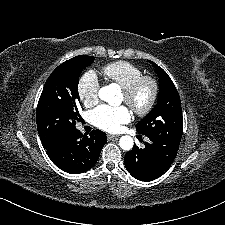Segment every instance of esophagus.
Listing matches in <instances>:
<instances>
[{"mask_svg":"<svg viewBox=\"0 0 225 225\" xmlns=\"http://www.w3.org/2000/svg\"><path fill=\"white\" fill-rule=\"evenodd\" d=\"M107 138L109 139V140H117L118 138H119V136L118 135H113V134H107Z\"/></svg>","mask_w":225,"mask_h":225,"instance_id":"esophagus-1","label":"esophagus"}]
</instances>
